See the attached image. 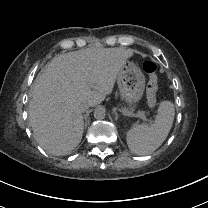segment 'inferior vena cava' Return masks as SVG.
Instances as JSON below:
<instances>
[{"instance_id":"obj_1","label":"inferior vena cava","mask_w":208,"mask_h":208,"mask_svg":"<svg viewBox=\"0 0 208 208\" xmlns=\"http://www.w3.org/2000/svg\"><path fill=\"white\" fill-rule=\"evenodd\" d=\"M89 103L87 101H83L78 105V109L80 112H85L89 108Z\"/></svg>"}]
</instances>
